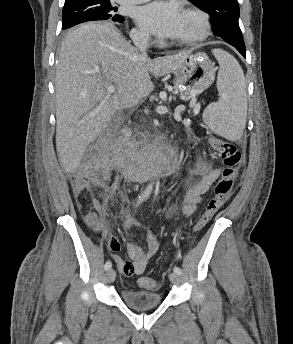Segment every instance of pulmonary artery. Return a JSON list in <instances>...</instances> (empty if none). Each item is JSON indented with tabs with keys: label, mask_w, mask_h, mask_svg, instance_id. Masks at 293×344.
Returning a JSON list of instances; mask_svg holds the SVG:
<instances>
[{
	"label": "pulmonary artery",
	"mask_w": 293,
	"mask_h": 344,
	"mask_svg": "<svg viewBox=\"0 0 293 344\" xmlns=\"http://www.w3.org/2000/svg\"><path fill=\"white\" fill-rule=\"evenodd\" d=\"M116 1L118 3H126V4H141L149 0H116Z\"/></svg>",
	"instance_id": "1"
}]
</instances>
